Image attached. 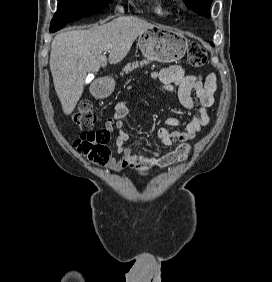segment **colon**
Here are the masks:
<instances>
[{
	"instance_id": "5ec220e1",
	"label": "colon",
	"mask_w": 272,
	"mask_h": 282,
	"mask_svg": "<svg viewBox=\"0 0 272 282\" xmlns=\"http://www.w3.org/2000/svg\"><path fill=\"white\" fill-rule=\"evenodd\" d=\"M188 61L194 67H202L207 62L205 49L197 44L188 46ZM73 121L82 129V134L73 142L74 147L84 154L95 165H105L110 159V131L107 128L93 130L97 121V113L88 100L79 102L73 114Z\"/></svg>"
}]
</instances>
